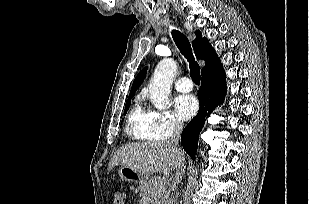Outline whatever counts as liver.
Listing matches in <instances>:
<instances>
[{
  "instance_id": "1",
  "label": "liver",
  "mask_w": 309,
  "mask_h": 204,
  "mask_svg": "<svg viewBox=\"0 0 309 204\" xmlns=\"http://www.w3.org/2000/svg\"><path fill=\"white\" fill-rule=\"evenodd\" d=\"M178 154L167 141L129 143L114 154L109 169L124 165L145 174L176 169Z\"/></svg>"
}]
</instances>
